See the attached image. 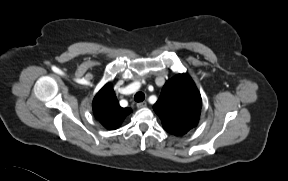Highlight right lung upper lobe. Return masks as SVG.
I'll return each mask as SVG.
<instances>
[{"label": "right lung upper lobe", "instance_id": "cb5924a9", "mask_svg": "<svg viewBox=\"0 0 288 181\" xmlns=\"http://www.w3.org/2000/svg\"><path fill=\"white\" fill-rule=\"evenodd\" d=\"M130 108H122L110 83H107L93 100V113L107 129H117L124 118L131 113Z\"/></svg>", "mask_w": 288, "mask_h": 181}]
</instances>
